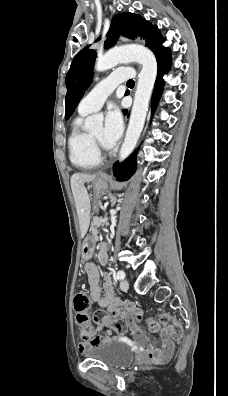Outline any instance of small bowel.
I'll return each instance as SVG.
<instances>
[{"instance_id":"small-bowel-1","label":"small bowel","mask_w":228,"mask_h":396,"mask_svg":"<svg viewBox=\"0 0 228 396\" xmlns=\"http://www.w3.org/2000/svg\"><path fill=\"white\" fill-rule=\"evenodd\" d=\"M107 247L102 245L99 252V260L107 259ZM89 285V295L92 301L100 307L106 308L116 319L126 321L132 338L148 350L150 359L157 364L168 361L174 352V343L169 338L168 332L161 333L162 345L159 348L154 347L138 325V320L143 316V311L134 304L120 300L113 291V285L109 275L104 276L103 287L100 286V275L97 266L87 261L84 265ZM107 328L106 335H100L99 332ZM113 329L106 325L99 324L96 328H91L87 333L85 340L79 343V351L83 352L89 347L97 346L109 340L122 339L121 336H113Z\"/></svg>"}]
</instances>
